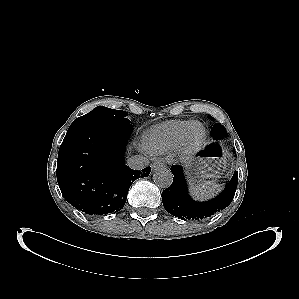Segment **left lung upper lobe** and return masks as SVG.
I'll return each instance as SVG.
<instances>
[{
  "label": "left lung upper lobe",
  "instance_id": "1",
  "mask_svg": "<svg viewBox=\"0 0 299 299\" xmlns=\"http://www.w3.org/2000/svg\"><path fill=\"white\" fill-rule=\"evenodd\" d=\"M226 129L224 128L223 125L220 123H216L213 128L211 129V136L214 139H222L227 137V133L225 131Z\"/></svg>",
  "mask_w": 299,
  "mask_h": 299
}]
</instances>
